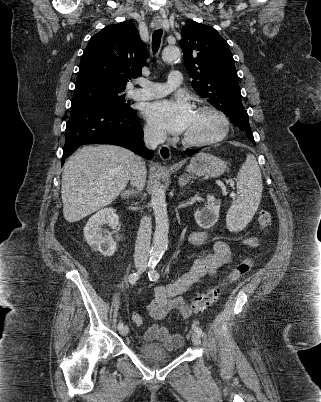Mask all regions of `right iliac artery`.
Returning a JSON list of instances; mask_svg holds the SVG:
<instances>
[{"instance_id": "obj_1", "label": "right iliac artery", "mask_w": 321, "mask_h": 402, "mask_svg": "<svg viewBox=\"0 0 321 402\" xmlns=\"http://www.w3.org/2000/svg\"><path fill=\"white\" fill-rule=\"evenodd\" d=\"M139 277H140V272H134V273H132V274L129 275V278H128V279H129V282H130L131 284H134V283H136V281L139 279ZM117 328H118V330H121V329L123 328V323L120 322V323L118 324Z\"/></svg>"}]
</instances>
